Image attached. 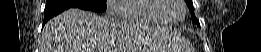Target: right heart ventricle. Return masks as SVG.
I'll return each instance as SVG.
<instances>
[{
  "mask_svg": "<svg viewBox=\"0 0 261 52\" xmlns=\"http://www.w3.org/2000/svg\"><path fill=\"white\" fill-rule=\"evenodd\" d=\"M160 7V0H124L115 10L126 23L167 24L160 15Z\"/></svg>",
  "mask_w": 261,
  "mask_h": 52,
  "instance_id": "e07e8e85",
  "label": "right heart ventricle"
}]
</instances>
